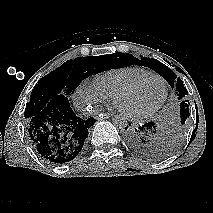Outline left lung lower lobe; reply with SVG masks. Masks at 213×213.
Segmentation results:
<instances>
[{
	"label": "left lung lower lobe",
	"instance_id": "obj_1",
	"mask_svg": "<svg viewBox=\"0 0 213 213\" xmlns=\"http://www.w3.org/2000/svg\"><path fill=\"white\" fill-rule=\"evenodd\" d=\"M127 128L125 139L132 151L146 158H160L158 145L165 132L161 131L156 123L148 122L142 126Z\"/></svg>",
	"mask_w": 213,
	"mask_h": 213
}]
</instances>
